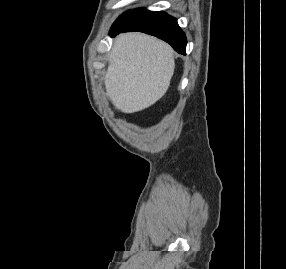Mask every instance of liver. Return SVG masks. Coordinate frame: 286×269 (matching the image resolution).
Masks as SVG:
<instances>
[{"instance_id": "liver-1", "label": "liver", "mask_w": 286, "mask_h": 269, "mask_svg": "<svg viewBox=\"0 0 286 269\" xmlns=\"http://www.w3.org/2000/svg\"><path fill=\"white\" fill-rule=\"evenodd\" d=\"M108 62L106 95L124 113L144 110L163 97L175 67L172 48L142 33L119 35Z\"/></svg>"}]
</instances>
